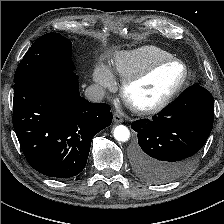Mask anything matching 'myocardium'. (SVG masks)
I'll return each mask as SVG.
<instances>
[{"mask_svg": "<svg viewBox=\"0 0 224 224\" xmlns=\"http://www.w3.org/2000/svg\"><path fill=\"white\" fill-rule=\"evenodd\" d=\"M171 63H177L181 65L183 69V75L181 80L178 82V84L159 102L152 106L148 107H141L136 105L130 98L129 96V90L130 88L137 82L147 78L150 76L154 71L157 69ZM189 78V70L186 64L174 57L166 58V59H161L153 62L149 66L145 67L143 70L139 71L138 73H135L131 76H128L124 79L121 87V93L122 96L127 103V105L134 110L137 113L143 114V115H149V114H154L157 113L164 108H166L174 99L175 97L182 91V89L185 87L187 81Z\"/></svg>", "mask_w": 224, "mask_h": 224, "instance_id": "myocardium-1", "label": "myocardium"}]
</instances>
